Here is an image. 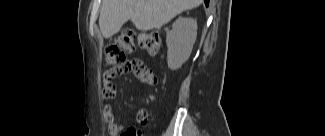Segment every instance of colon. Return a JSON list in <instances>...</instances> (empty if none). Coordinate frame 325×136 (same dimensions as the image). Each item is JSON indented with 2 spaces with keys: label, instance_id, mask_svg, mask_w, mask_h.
I'll list each match as a JSON object with an SVG mask.
<instances>
[{
  "label": "colon",
  "instance_id": "obj_1",
  "mask_svg": "<svg viewBox=\"0 0 325 136\" xmlns=\"http://www.w3.org/2000/svg\"><path fill=\"white\" fill-rule=\"evenodd\" d=\"M162 39L159 33L148 31L137 33L133 30H124L108 44L104 52V62L108 67L124 62L127 54L134 52L136 45L143 48L150 56L156 57L161 50ZM121 136H141V132L129 127Z\"/></svg>",
  "mask_w": 325,
  "mask_h": 136
}]
</instances>
